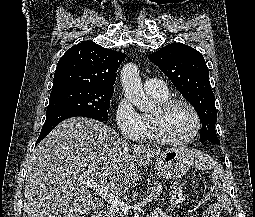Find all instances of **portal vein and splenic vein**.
Listing matches in <instances>:
<instances>
[{
	"instance_id": "1",
	"label": "portal vein and splenic vein",
	"mask_w": 255,
	"mask_h": 217,
	"mask_svg": "<svg viewBox=\"0 0 255 217\" xmlns=\"http://www.w3.org/2000/svg\"><path fill=\"white\" fill-rule=\"evenodd\" d=\"M87 186L92 188L97 192L102 198H104L112 207L127 212L131 208H140L145 206L148 202L151 201V197H146L141 202H138L134 206H130L128 203L124 202L121 198L114 195L104 184H97L92 180L86 182Z\"/></svg>"
}]
</instances>
